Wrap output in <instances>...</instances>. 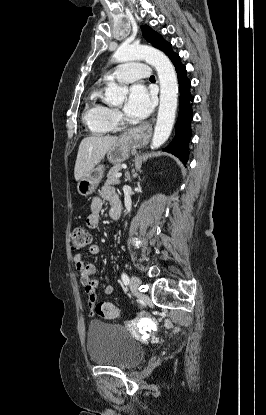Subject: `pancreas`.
Masks as SVG:
<instances>
[{
	"instance_id": "cf45deb5",
	"label": "pancreas",
	"mask_w": 266,
	"mask_h": 415,
	"mask_svg": "<svg viewBox=\"0 0 266 415\" xmlns=\"http://www.w3.org/2000/svg\"><path fill=\"white\" fill-rule=\"evenodd\" d=\"M121 170L120 165H114L107 174V181L105 185H114L119 184L120 180L119 178H116L115 175Z\"/></svg>"
}]
</instances>
